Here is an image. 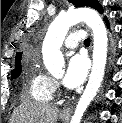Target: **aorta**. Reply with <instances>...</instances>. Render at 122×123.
<instances>
[{"mask_svg": "<svg viewBox=\"0 0 122 123\" xmlns=\"http://www.w3.org/2000/svg\"><path fill=\"white\" fill-rule=\"evenodd\" d=\"M80 21H85L93 31V66L88 84L77 104L71 123H80L103 80L108 42L105 25L99 14L90 8L69 11L59 15L52 22L42 48L43 61L47 70L53 75L62 73L64 58L60 48L69 28Z\"/></svg>", "mask_w": 122, "mask_h": 123, "instance_id": "aorta-1", "label": "aorta"}]
</instances>
